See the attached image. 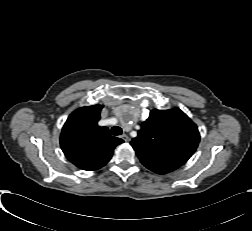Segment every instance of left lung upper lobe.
<instances>
[{
  "label": "left lung upper lobe",
  "instance_id": "1",
  "mask_svg": "<svg viewBox=\"0 0 252 231\" xmlns=\"http://www.w3.org/2000/svg\"><path fill=\"white\" fill-rule=\"evenodd\" d=\"M200 140L195 123L180 109L150 111L131 145L143 165H183Z\"/></svg>",
  "mask_w": 252,
  "mask_h": 231
}]
</instances>
